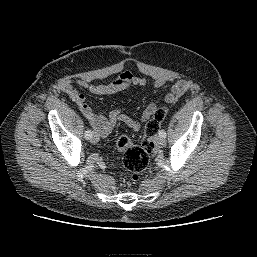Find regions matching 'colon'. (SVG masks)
<instances>
[{"label": "colon", "mask_w": 257, "mask_h": 257, "mask_svg": "<svg viewBox=\"0 0 257 257\" xmlns=\"http://www.w3.org/2000/svg\"><path fill=\"white\" fill-rule=\"evenodd\" d=\"M166 114L165 108H157L153 117L145 125L144 138L140 146L134 144L128 135H122L118 138L116 146L123 153V166L129 173L131 180H138L139 175L148 166L150 156L155 150V135Z\"/></svg>", "instance_id": "5ec220e1"}]
</instances>
